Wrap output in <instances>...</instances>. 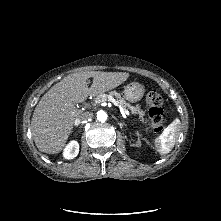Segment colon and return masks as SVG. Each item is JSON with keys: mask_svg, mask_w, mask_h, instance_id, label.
Masks as SVG:
<instances>
[{"mask_svg": "<svg viewBox=\"0 0 221 221\" xmlns=\"http://www.w3.org/2000/svg\"><path fill=\"white\" fill-rule=\"evenodd\" d=\"M146 106L150 118V124L155 132H159L163 128V98L155 90L148 92L146 95Z\"/></svg>", "mask_w": 221, "mask_h": 221, "instance_id": "5ec220e1", "label": "colon"}]
</instances>
